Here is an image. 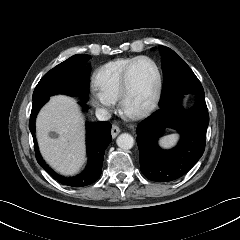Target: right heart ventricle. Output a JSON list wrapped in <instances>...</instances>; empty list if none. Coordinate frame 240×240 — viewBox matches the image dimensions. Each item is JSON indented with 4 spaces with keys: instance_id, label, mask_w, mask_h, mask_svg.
Returning <instances> with one entry per match:
<instances>
[{
    "instance_id": "obj_1",
    "label": "right heart ventricle",
    "mask_w": 240,
    "mask_h": 240,
    "mask_svg": "<svg viewBox=\"0 0 240 240\" xmlns=\"http://www.w3.org/2000/svg\"><path fill=\"white\" fill-rule=\"evenodd\" d=\"M135 58H118L99 67L95 74V83L98 88L108 97L117 100L120 95L124 72Z\"/></svg>"
}]
</instances>
